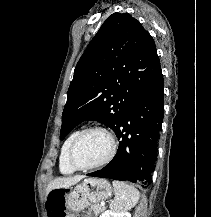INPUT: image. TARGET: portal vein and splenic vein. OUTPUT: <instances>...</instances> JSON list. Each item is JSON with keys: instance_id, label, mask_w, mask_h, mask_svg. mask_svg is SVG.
I'll return each mask as SVG.
<instances>
[{"instance_id": "18ae733b", "label": "portal vein and splenic vein", "mask_w": 211, "mask_h": 217, "mask_svg": "<svg viewBox=\"0 0 211 217\" xmlns=\"http://www.w3.org/2000/svg\"><path fill=\"white\" fill-rule=\"evenodd\" d=\"M101 206H103V207H104V206H105V203H103V202H102V203H101Z\"/></svg>"}]
</instances>
